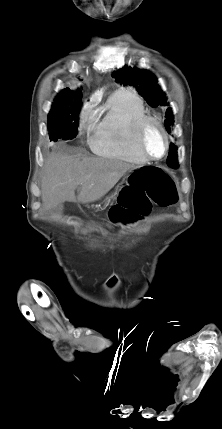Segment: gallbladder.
<instances>
[{
    "label": "gallbladder",
    "mask_w": 222,
    "mask_h": 429,
    "mask_svg": "<svg viewBox=\"0 0 222 429\" xmlns=\"http://www.w3.org/2000/svg\"><path fill=\"white\" fill-rule=\"evenodd\" d=\"M53 212L61 214L63 212V204H58L55 208H53Z\"/></svg>",
    "instance_id": "1"
}]
</instances>
